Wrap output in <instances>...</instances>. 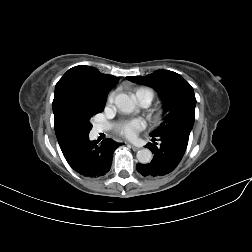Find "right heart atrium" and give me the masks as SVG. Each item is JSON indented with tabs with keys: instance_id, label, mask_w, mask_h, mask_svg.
Instances as JSON below:
<instances>
[{
	"instance_id": "right-heart-atrium-1",
	"label": "right heart atrium",
	"mask_w": 252,
	"mask_h": 252,
	"mask_svg": "<svg viewBox=\"0 0 252 252\" xmlns=\"http://www.w3.org/2000/svg\"><path fill=\"white\" fill-rule=\"evenodd\" d=\"M115 94L112 92L107 97V105H111L113 103Z\"/></svg>"
}]
</instances>
